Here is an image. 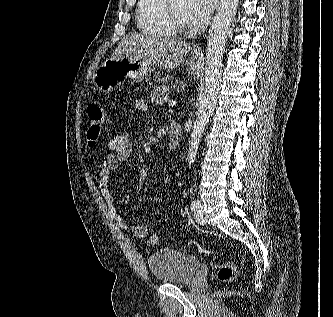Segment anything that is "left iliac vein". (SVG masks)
Instances as JSON below:
<instances>
[{
    "label": "left iliac vein",
    "mask_w": 333,
    "mask_h": 317,
    "mask_svg": "<svg viewBox=\"0 0 333 317\" xmlns=\"http://www.w3.org/2000/svg\"><path fill=\"white\" fill-rule=\"evenodd\" d=\"M194 219L200 225L206 224V218L203 213V205L199 202V207L194 211Z\"/></svg>",
    "instance_id": "obj_1"
}]
</instances>
